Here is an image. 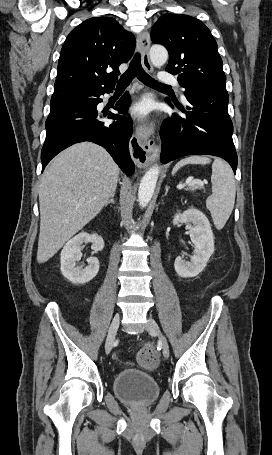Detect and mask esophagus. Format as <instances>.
<instances>
[{"mask_svg": "<svg viewBox=\"0 0 272 455\" xmlns=\"http://www.w3.org/2000/svg\"><path fill=\"white\" fill-rule=\"evenodd\" d=\"M137 44L141 52L142 65L147 71L151 72L153 68L149 59L150 35L148 31H143L139 35ZM153 133V123H141L136 128V138L140 147L135 138L132 140V146L134 148V162L139 168L147 167L155 161L159 155L160 148L151 138Z\"/></svg>", "mask_w": 272, "mask_h": 455, "instance_id": "obj_1", "label": "esophagus"}]
</instances>
